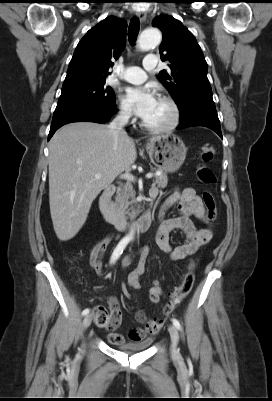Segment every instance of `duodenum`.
<instances>
[{"instance_id": "duodenum-1", "label": "duodenum", "mask_w": 272, "mask_h": 401, "mask_svg": "<svg viewBox=\"0 0 272 401\" xmlns=\"http://www.w3.org/2000/svg\"><path fill=\"white\" fill-rule=\"evenodd\" d=\"M116 191L115 186H108L99 197V209L105 220L119 230H126L133 227L138 232H145L151 225V214L145 212L137 220L131 222L125 216L117 213L112 205V197ZM152 199H155L150 195Z\"/></svg>"}]
</instances>
